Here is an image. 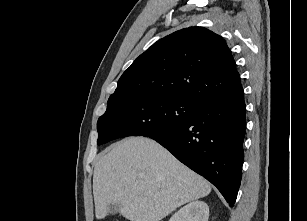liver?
<instances>
[{
	"instance_id": "6515ba94",
	"label": "liver",
	"mask_w": 307,
	"mask_h": 221,
	"mask_svg": "<svg viewBox=\"0 0 307 221\" xmlns=\"http://www.w3.org/2000/svg\"><path fill=\"white\" fill-rule=\"evenodd\" d=\"M211 192V185L157 142L126 138L103 151L93 175L97 219L109 204L130 221H160L178 207Z\"/></svg>"
}]
</instances>
